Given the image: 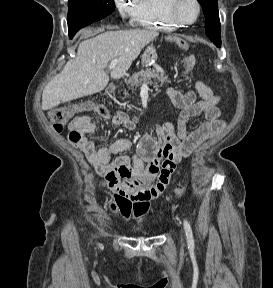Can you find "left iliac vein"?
<instances>
[{"instance_id": "obj_1", "label": "left iliac vein", "mask_w": 273, "mask_h": 288, "mask_svg": "<svg viewBox=\"0 0 273 288\" xmlns=\"http://www.w3.org/2000/svg\"><path fill=\"white\" fill-rule=\"evenodd\" d=\"M181 243L184 245L185 243V238L183 232H181Z\"/></svg>"}]
</instances>
